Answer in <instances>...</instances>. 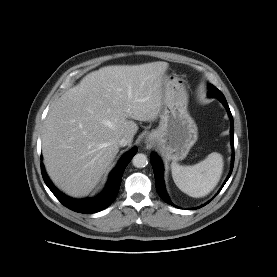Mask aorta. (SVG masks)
<instances>
[{"label":"aorta","instance_id":"aorta-1","mask_svg":"<svg viewBox=\"0 0 277 277\" xmlns=\"http://www.w3.org/2000/svg\"><path fill=\"white\" fill-rule=\"evenodd\" d=\"M132 163L137 168H143L148 164L147 156L145 154L138 153L133 157Z\"/></svg>","mask_w":277,"mask_h":277}]
</instances>
